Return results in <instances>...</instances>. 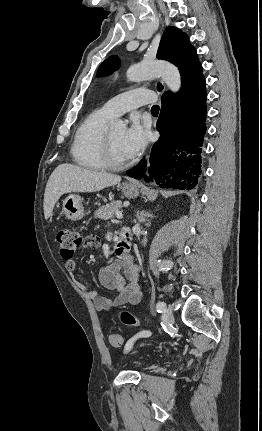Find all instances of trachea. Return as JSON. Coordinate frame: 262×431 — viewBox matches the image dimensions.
Instances as JSON below:
<instances>
[{
  "label": "trachea",
  "mask_w": 262,
  "mask_h": 431,
  "mask_svg": "<svg viewBox=\"0 0 262 431\" xmlns=\"http://www.w3.org/2000/svg\"><path fill=\"white\" fill-rule=\"evenodd\" d=\"M151 112L153 114H157L159 112V106L158 105L152 106Z\"/></svg>",
  "instance_id": "obj_1"
}]
</instances>
